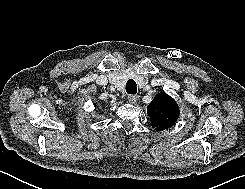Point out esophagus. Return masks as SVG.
I'll return each instance as SVG.
<instances>
[{
    "label": "esophagus",
    "instance_id": "1",
    "mask_svg": "<svg viewBox=\"0 0 245 189\" xmlns=\"http://www.w3.org/2000/svg\"><path fill=\"white\" fill-rule=\"evenodd\" d=\"M139 100V96L138 95H130L128 96V101L131 103V104H136Z\"/></svg>",
    "mask_w": 245,
    "mask_h": 189
}]
</instances>
